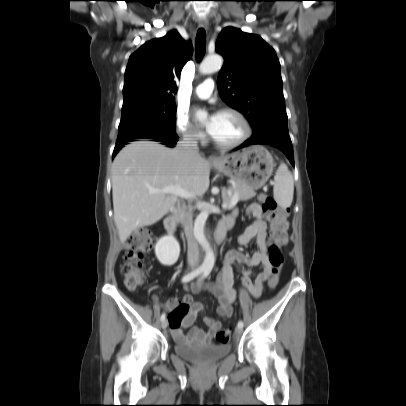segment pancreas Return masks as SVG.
I'll return each instance as SVG.
<instances>
[{
  "label": "pancreas",
  "mask_w": 406,
  "mask_h": 406,
  "mask_svg": "<svg viewBox=\"0 0 406 406\" xmlns=\"http://www.w3.org/2000/svg\"><path fill=\"white\" fill-rule=\"evenodd\" d=\"M235 193H238L239 201H247L256 196V192L252 189H248L240 184L235 183L222 193L223 203L229 205L232 197Z\"/></svg>",
  "instance_id": "1"
}]
</instances>
